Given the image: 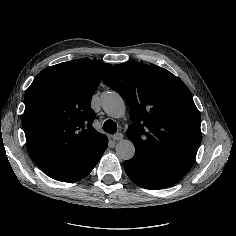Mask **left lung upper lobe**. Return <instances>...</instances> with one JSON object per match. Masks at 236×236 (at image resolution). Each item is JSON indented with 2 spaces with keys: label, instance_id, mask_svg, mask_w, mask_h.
Masks as SVG:
<instances>
[{
  "label": "left lung upper lobe",
  "instance_id": "1",
  "mask_svg": "<svg viewBox=\"0 0 236 236\" xmlns=\"http://www.w3.org/2000/svg\"><path fill=\"white\" fill-rule=\"evenodd\" d=\"M103 82L131 109L127 136L135 152L184 176L202 138L200 114L186 85L164 68L134 62L115 65Z\"/></svg>",
  "mask_w": 236,
  "mask_h": 236
}]
</instances>
